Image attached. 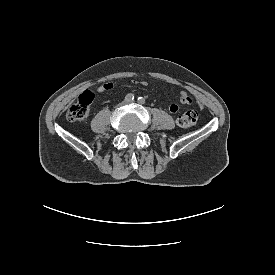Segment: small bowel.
Returning a JSON list of instances; mask_svg holds the SVG:
<instances>
[{"label": "small bowel", "mask_w": 275, "mask_h": 275, "mask_svg": "<svg viewBox=\"0 0 275 275\" xmlns=\"http://www.w3.org/2000/svg\"><path fill=\"white\" fill-rule=\"evenodd\" d=\"M142 85H146L145 82H142ZM114 88L113 83L111 82H105L102 83L98 88H97V92L98 93H102V92H106V91H111ZM192 102V99L190 97V95L186 92V91H182L181 95H180V103L183 105H188ZM179 109V106L177 104H171L169 106V111L172 113L177 112Z\"/></svg>", "instance_id": "small-bowel-1"}]
</instances>
